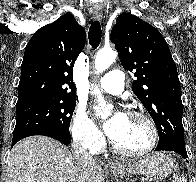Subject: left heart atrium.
<instances>
[{"label":"left heart atrium","instance_id":"39dd6f15","mask_svg":"<svg viewBox=\"0 0 196 182\" xmlns=\"http://www.w3.org/2000/svg\"><path fill=\"white\" fill-rule=\"evenodd\" d=\"M126 121V115L123 113H117L110 119L108 122L105 123V131L109 137L112 139L117 136L120 132L122 127L124 126Z\"/></svg>","mask_w":196,"mask_h":182}]
</instances>
